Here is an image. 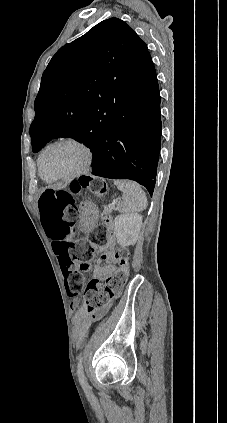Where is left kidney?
I'll return each mask as SVG.
<instances>
[{"label": "left kidney", "mask_w": 227, "mask_h": 423, "mask_svg": "<svg viewBox=\"0 0 227 423\" xmlns=\"http://www.w3.org/2000/svg\"><path fill=\"white\" fill-rule=\"evenodd\" d=\"M116 241L122 247L134 245L138 239L142 225L139 213H120L114 219Z\"/></svg>", "instance_id": "5707ae66"}]
</instances>
